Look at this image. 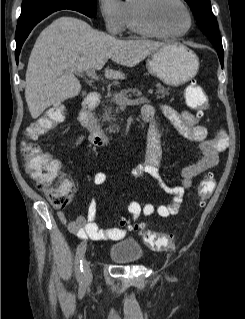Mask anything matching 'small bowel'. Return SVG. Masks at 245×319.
<instances>
[{
    "mask_svg": "<svg viewBox=\"0 0 245 319\" xmlns=\"http://www.w3.org/2000/svg\"><path fill=\"white\" fill-rule=\"evenodd\" d=\"M201 116V113L195 114L187 110L178 111L168 105L161 106L160 113H157L151 105L143 106L142 117H147L152 122L148 140V156L143 164L132 169L130 173L132 178L151 177L160 181L159 167L162 151L157 141V135L162 117L166 118L181 136L196 144L199 160L183 169L180 185L168 186L162 184L164 190L172 196L168 203L155 207L149 202L141 203L138 200H131L127 209L132 220H137L140 216L149 217L154 213H157L160 217L177 214L181 209L184 194L192 186L193 180L217 164L219 154L225 150L227 141L223 132H210L205 126L201 125ZM83 139V137H79L75 144L79 145ZM107 179L106 173L99 172L93 175L92 181L95 185H102ZM96 213L97 203L95 200H91L86 214L77 215L72 220L68 219L63 211H58L57 215L71 233L83 240L118 241L125 237L126 231L122 228L100 227L95 222Z\"/></svg>",
    "mask_w": 245,
    "mask_h": 319,
    "instance_id": "c3829d8e",
    "label": "small bowel"
}]
</instances>
